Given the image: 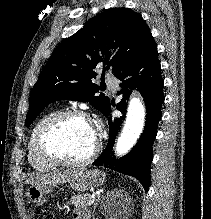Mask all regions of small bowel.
<instances>
[{
	"label": "small bowel",
	"instance_id": "1",
	"mask_svg": "<svg viewBox=\"0 0 211 219\" xmlns=\"http://www.w3.org/2000/svg\"><path fill=\"white\" fill-rule=\"evenodd\" d=\"M74 219H90L89 215L79 209L74 210L73 212Z\"/></svg>",
	"mask_w": 211,
	"mask_h": 219
}]
</instances>
